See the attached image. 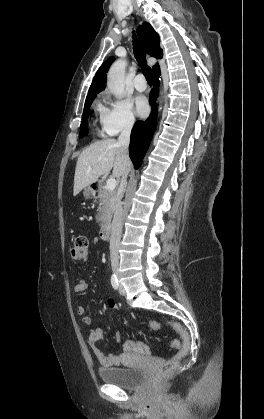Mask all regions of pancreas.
<instances>
[{
  "label": "pancreas",
  "mask_w": 264,
  "mask_h": 419,
  "mask_svg": "<svg viewBox=\"0 0 264 419\" xmlns=\"http://www.w3.org/2000/svg\"><path fill=\"white\" fill-rule=\"evenodd\" d=\"M116 199V192L108 190L106 186H101L99 191V213L96 216L100 226L103 227L110 222Z\"/></svg>",
  "instance_id": "obj_1"
}]
</instances>
